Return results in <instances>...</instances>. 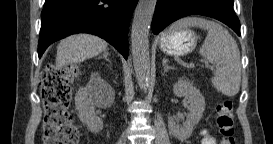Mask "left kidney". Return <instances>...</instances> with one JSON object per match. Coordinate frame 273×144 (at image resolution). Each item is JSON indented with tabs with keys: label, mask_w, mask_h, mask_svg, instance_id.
Returning a JSON list of instances; mask_svg holds the SVG:
<instances>
[{
	"label": "left kidney",
	"mask_w": 273,
	"mask_h": 144,
	"mask_svg": "<svg viewBox=\"0 0 273 144\" xmlns=\"http://www.w3.org/2000/svg\"><path fill=\"white\" fill-rule=\"evenodd\" d=\"M173 92L177 97H188L190 102L189 113L182 125H178L177 118L169 120V129L171 134L180 141L188 139L194 126L199 123L205 110V99L191 81L181 78L175 83Z\"/></svg>",
	"instance_id": "1"
}]
</instances>
